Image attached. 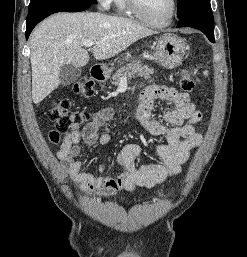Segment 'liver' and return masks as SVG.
Masks as SVG:
<instances>
[{
    "label": "liver",
    "mask_w": 247,
    "mask_h": 257,
    "mask_svg": "<svg viewBox=\"0 0 247 257\" xmlns=\"http://www.w3.org/2000/svg\"><path fill=\"white\" fill-rule=\"evenodd\" d=\"M156 32L139 23L102 13H58L41 22L30 37L32 99L40 103L60 84L64 64L78 68L89 61L86 40L95 41V59H109Z\"/></svg>",
    "instance_id": "liver-1"
}]
</instances>
